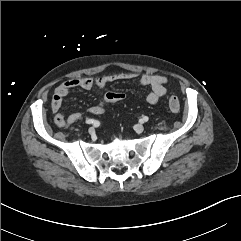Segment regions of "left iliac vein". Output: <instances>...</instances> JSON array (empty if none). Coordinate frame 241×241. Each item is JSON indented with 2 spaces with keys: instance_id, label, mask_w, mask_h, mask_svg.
I'll return each instance as SVG.
<instances>
[{
  "instance_id": "4c4485c4",
  "label": "left iliac vein",
  "mask_w": 241,
  "mask_h": 241,
  "mask_svg": "<svg viewBox=\"0 0 241 241\" xmlns=\"http://www.w3.org/2000/svg\"><path fill=\"white\" fill-rule=\"evenodd\" d=\"M134 129L137 133H142L144 131V126L142 124H137Z\"/></svg>"
}]
</instances>
